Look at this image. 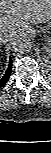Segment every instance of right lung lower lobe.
<instances>
[{"mask_svg": "<svg viewBox=\"0 0 51 153\" xmlns=\"http://www.w3.org/2000/svg\"><path fill=\"white\" fill-rule=\"evenodd\" d=\"M12 71V60L9 61L8 69L2 78H0V88L8 81Z\"/></svg>", "mask_w": 51, "mask_h": 153, "instance_id": "98d812e1", "label": "right lung lower lobe"}]
</instances>
